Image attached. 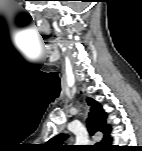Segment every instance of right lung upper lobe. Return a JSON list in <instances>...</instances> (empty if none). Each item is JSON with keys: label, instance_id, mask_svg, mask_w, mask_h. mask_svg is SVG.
<instances>
[{"label": "right lung upper lobe", "instance_id": "1", "mask_svg": "<svg viewBox=\"0 0 142 151\" xmlns=\"http://www.w3.org/2000/svg\"><path fill=\"white\" fill-rule=\"evenodd\" d=\"M90 105V114L87 121L88 130L90 134H94L98 131L103 133V139L101 145L107 147L112 141L110 137L111 127L107 124V114L103 110L102 106L92 98L87 99ZM68 136L66 134H59L48 141V147L54 150H59L63 148L61 144L64 139Z\"/></svg>", "mask_w": 142, "mask_h": 151}]
</instances>
